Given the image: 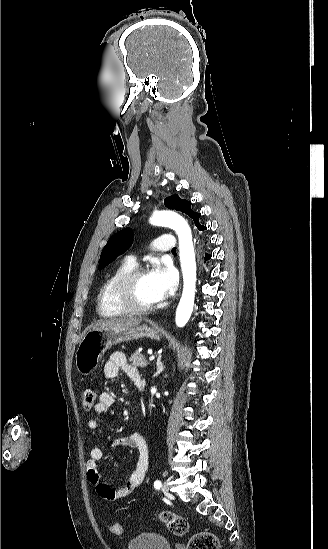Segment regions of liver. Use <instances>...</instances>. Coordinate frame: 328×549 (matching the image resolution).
<instances>
[{"label": "liver", "mask_w": 328, "mask_h": 549, "mask_svg": "<svg viewBox=\"0 0 328 549\" xmlns=\"http://www.w3.org/2000/svg\"><path fill=\"white\" fill-rule=\"evenodd\" d=\"M141 319H129V317H119V319H102L95 323L92 329H106V327H136L140 325Z\"/></svg>", "instance_id": "liver-1"}]
</instances>
